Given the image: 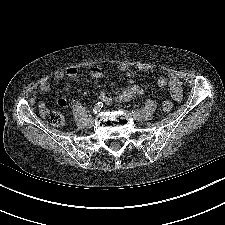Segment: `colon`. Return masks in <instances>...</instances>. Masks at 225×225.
<instances>
[{"mask_svg":"<svg viewBox=\"0 0 225 225\" xmlns=\"http://www.w3.org/2000/svg\"><path fill=\"white\" fill-rule=\"evenodd\" d=\"M162 109L165 113H169L172 109V101L169 99L164 101ZM44 118L53 126H62L65 122L64 115L57 110L46 109L44 111Z\"/></svg>","mask_w":225,"mask_h":225,"instance_id":"obj_1","label":"colon"}]
</instances>
